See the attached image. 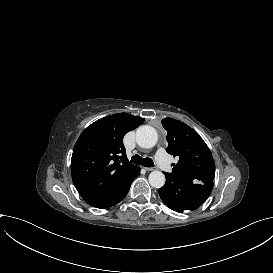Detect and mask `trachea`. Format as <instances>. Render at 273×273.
Segmentation results:
<instances>
[{
  "mask_svg": "<svg viewBox=\"0 0 273 273\" xmlns=\"http://www.w3.org/2000/svg\"><path fill=\"white\" fill-rule=\"evenodd\" d=\"M131 162L136 165H143L144 167H154V162L151 158H142L137 154L131 158Z\"/></svg>",
  "mask_w": 273,
  "mask_h": 273,
  "instance_id": "3493384b",
  "label": "trachea"
}]
</instances>
